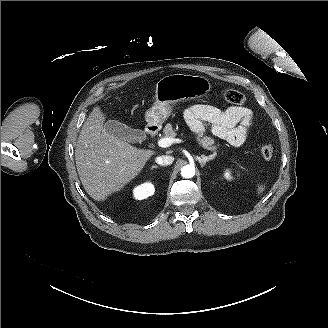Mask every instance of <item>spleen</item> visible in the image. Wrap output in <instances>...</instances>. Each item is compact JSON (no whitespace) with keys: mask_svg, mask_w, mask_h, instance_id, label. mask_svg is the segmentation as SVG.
<instances>
[{"mask_svg":"<svg viewBox=\"0 0 328 328\" xmlns=\"http://www.w3.org/2000/svg\"><path fill=\"white\" fill-rule=\"evenodd\" d=\"M265 187H266V184H264V183L258 184L256 187V195L261 196L265 191Z\"/></svg>","mask_w":328,"mask_h":328,"instance_id":"spleen-1","label":"spleen"}]
</instances>
